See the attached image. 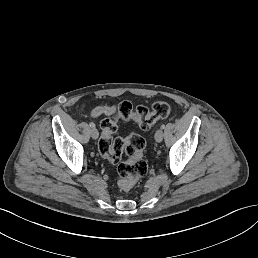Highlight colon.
<instances>
[{"mask_svg": "<svg viewBox=\"0 0 258 258\" xmlns=\"http://www.w3.org/2000/svg\"><path fill=\"white\" fill-rule=\"evenodd\" d=\"M170 111L171 107L165 101H156L151 108L134 107L130 102L124 101L119 104L115 115L101 121L98 149L104 158L117 164L118 186L121 190L130 191L147 173L148 164L144 159L146 144L143 137L132 134L126 138H114L118 121H134L142 130H148L157 121L166 119ZM124 154L127 159L122 161Z\"/></svg>", "mask_w": 258, "mask_h": 258, "instance_id": "1", "label": "colon"}]
</instances>
